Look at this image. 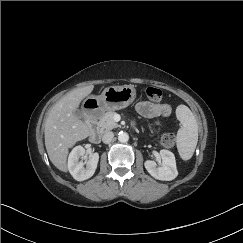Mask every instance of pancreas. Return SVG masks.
Listing matches in <instances>:
<instances>
[{
	"instance_id": "cf45deb5",
	"label": "pancreas",
	"mask_w": 243,
	"mask_h": 243,
	"mask_svg": "<svg viewBox=\"0 0 243 243\" xmlns=\"http://www.w3.org/2000/svg\"><path fill=\"white\" fill-rule=\"evenodd\" d=\"M116 112L107 111L99 121V127L101 131H109L114 128L119 127L118 123L114 120V115Z\"/></svg>"
}]
</instances>
